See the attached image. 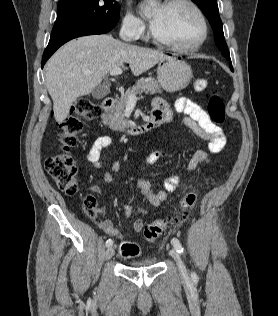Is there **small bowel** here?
Returning a JSON list of instances; mask_svg holds the SVG:
<instances>
[{
    "instance_id": "c3829d8e",
    "label": "small bowel",
    "mask_w": 278,
    "mask_h": 316,
    "mask_svg": "<svg viewBox=\"0 0 278 316\" xmlns=\"http://www.w3.org/2000/svg\"><path fill=\"white\" fill-rule=\"evenodd\" d=\"M174 110L183 115L185 125L193 132L194 135L208 143V152L199 150L191 157L188 169L195 171L201 164L209 163V154H217L223 150L227 143V135L217 124H215L206 111L201 108L196 102L187 98H179ZM153 111L161 116V123L170 122L173 114V109L162 99L155 98L153 100ZM113 145L112 138L108 135L97 137L88 153L87 160L95 167L100 168L103 164L104 155ZM174 153L168 149L160 148L152 151L145 160L146 165H153L163 158H172ZM112 173H106L104 180L107 183H115L114 174L120 172V164L113 162L110 166ZM179 184V176L172 174L168 176L163 183V190L156 191L153 185L145 179L138 181V187L141 192L142 201L157 207L163 203L168 194L174 192ZM132 214V207L129 204H124V216L128 219ZM142 219H136L132 223V231L135 233L141 232L143 229ZM102 230L109 236L120 238L121 231L114 227L112 221L106 216L100 221Z\"/></svg>"
}]
</instances>
